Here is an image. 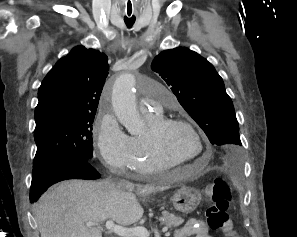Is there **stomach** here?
<instances>
[{"label":"stomach","mask_w":297,"mask_h":237,"mask_svg":"<svg viewBox=\"0 0 297 237\" xmlns=\"http://www.w3.org/2000/svg\"><path fill=\"white\" fill-rule=\"evenodd\" d=\"M201 201V194L194 188L183 186L171 197L173 207L182 213L193 212Z\"/></svg>","instance_id":"1"}]
</instances>
